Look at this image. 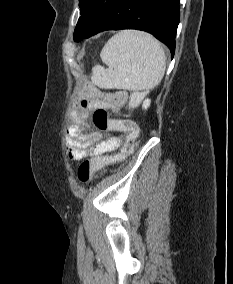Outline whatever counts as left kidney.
Wrapping results in <instances>:
<instances>
[{
  "label": "left kidney",
  "instance_id": "obj_1",
  "mask_svg": "<svg viewBox=\"0 0 233 284\" xmlns=\"http://www.w3.org/2000/svg\"><path fill=\"white\" fill-rule=\"evenodd\" d=\"M150 103H151L150 99H145V100L143 101L142 107H143L144 109H147V108L150 106Z\"/></svg>",
  "mask_w": 233,
  "mask_h": 284
}]
</instances>
